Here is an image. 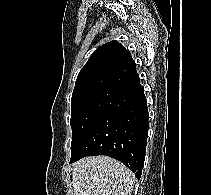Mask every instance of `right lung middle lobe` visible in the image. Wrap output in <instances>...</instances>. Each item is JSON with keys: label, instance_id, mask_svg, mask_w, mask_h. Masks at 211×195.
Segmentation results:
<instances>
[{"label": "right lung middle lobe", "instance_id": "right-lung-middle-lobe-1", "mask_svg": "<svg viewBox=\"0 0 211 195\" xmlns=\"http://www.w3.org/2000/svg\"><path fill=\"white\" fill-rule=\"evenodd\" d=\"M112 93L109 90L96 89L72 95L70 120L72 127L71 153L105 107Z\"/></svg>", "mask_w": 211, "mask_h": 195}]
</instances>
